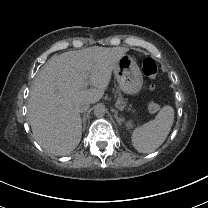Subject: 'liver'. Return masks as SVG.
Segmentation results:
<instances>
[{
    "mask_svg": "<svg viewBox=\"0 0 208 208\" xmlns=\"http://www.w3.org/2000/svg\"><path fill=\"white\" fill-rule=\"evenodd\" d=\"M127 51L94 46L53 56L42 67L30 91L27 116L43 148L65 155L78 146L82 136L78 101L95 103L102 98L116 63ZM86 79L95 88L83 89Z\"/></svg>",
    "mask_w": 208,
    "mask_h": 208,
    "instance_id": "1",
    "label": "liver"
}]
</instances>
